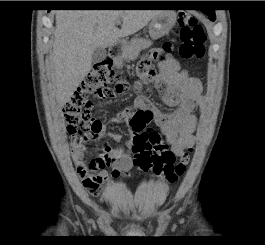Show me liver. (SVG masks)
I'll return each instance as SVG.
<instances>
[{
    "label": "liver",
    "instance_id": "6515ba94",
    "mask_svg": "<svg viewBox=\"0 0 265 245\" xmlns=\"http://www.w3.org/2000/svg\"><path fill=\"white\" fill-rule=\"evenodd\" d=\"M161 10H61L56 12L51 65L56 100L63 107L91 70L97 47L107 48L145 27ZM122 21L121 29L116 22Z\"/></svg>",
    "mask_w": 265,
    "mask_h": 245
}]
</instances>
